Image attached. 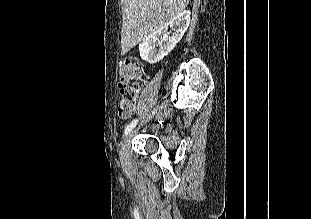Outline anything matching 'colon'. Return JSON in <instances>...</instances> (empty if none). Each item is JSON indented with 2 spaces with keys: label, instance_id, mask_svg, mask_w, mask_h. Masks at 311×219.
<instances>
[{
  "label": "colon",
  "instance_id": "obj_1",
  "mask_svg": "<svg viewBox=\"0 0 311 219\" xmlns=\"http://www.w3.org/2000/svg\"><path fill=\"white\" fill-rule=\"evenodd\" d=\"M119 86L122 95V105L126 109L134 106L137 102L139 89L132 82L137 80L142 72V63L134 57H126L119 61Z\"/></svg>",
  "mask_w": 311,
  "mask_h": 219
}]
</instances>
